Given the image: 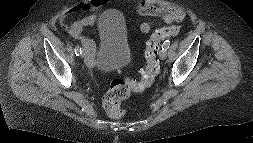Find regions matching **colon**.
Returning <instances> with one entry per match:
<instances>
[{"mask_svg": "<svg viewBox=\"0 0 253 143\" xmlns=\"http://www.w3.org/2000/svg\"><path fill=\"white\" fill-rule=\"evenodd\" d=\"M179 32V27L172 26L159 29L150 37L145 50L146 64L138 81L123 76L113 78L110 81L103 101L104 108L109 116L121 118L125 114V101L129 96L133 92L143 91L152 85L160 68L158 52L161 43L167 38L177 36Z\"/></svg>", "mask_w": 253, "mask_h": 143, "instance_id": "1", "label": "colon"}]
</instances>
